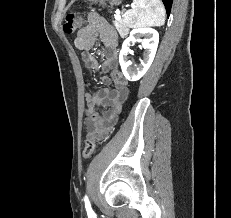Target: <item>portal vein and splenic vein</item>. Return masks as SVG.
<instances>
[{
	"instance_id": "1",
	"label": "portal vein and splenic vein",
	"mask_w": 231,
	"mask_h": 218,
	"mask_svg": "<svg viewBox=\"0 0 231 218\" xmlns=\"http://www.w3.org/2000/svg\"><path fill=\"white\" fill-rule=\"evenodd\" d=\"M115 19H116V20L121 19V15H120V14H116V15H115Z\"/></svg>"
}]
</instances>
